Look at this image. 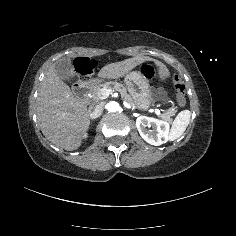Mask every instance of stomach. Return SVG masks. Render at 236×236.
I'll list each match as a JSON object with an SVG mask.
<instances>
[{
    "mask_svg": "<svg viewBox=\"0 0 236 236\" xmlns=\"http://www.w3.org/2000/svg\"><path fill=\"white\" fill-rule=\"evenodd\" d=\"M126 88L139 110H147L152 102L161 100L167 102V92L163 87L153 88L140 72L131 71L124 79Z\"/></svg>",
    "mask_w": 236,
    "mask_h": 236,
    "instance_id": "1",
    "label": "stomach"
}]
</instances>
